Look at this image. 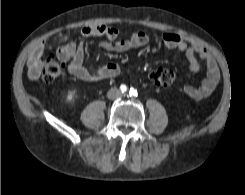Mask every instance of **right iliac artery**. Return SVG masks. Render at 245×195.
<instances>
[{
	"label": "right iliac artery",
	"instance_id": "82829eb1",
	"mask_svg": "<svg viewBox=\"0 0 245 195\" xmlns=\"http://www.w3.org/2000/svg\"><path fill=\"white\" fill-rule=\"evenodd\" d=\"M120 90H121L123 93L126 92V91H127L126 85H121V86H120Z\"/></svg>",
	"mask_w": 245,
	"mask_h": 195
}]
</instances>
